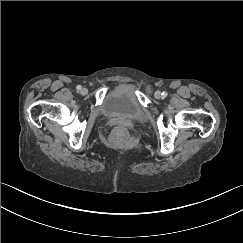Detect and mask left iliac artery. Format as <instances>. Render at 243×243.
Masks as SVG:
<instances>
[{
	"label": "left iliac artery",
	"mask_w": 243,
	"mask_h": 243,
	"mask_svg": "<svg viewBox=\"0 0 243 243\" xmlns=\"http://www.w3.org/2000/svg\"><path fill=\"white\" fill-rule=\"evenodd\" d=\"M162 95H163V97H166L167 96V92H163Z\"/></svg>",
	"instance_id": "1"
}]
</instances>
